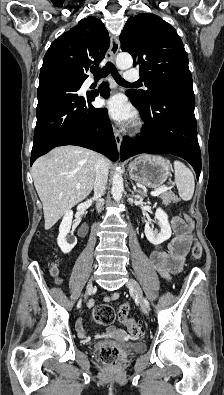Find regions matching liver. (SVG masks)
I'll return each instance as SVG.
<instances>
[{"label": "liver", "mask_w": 224, "mask_h": 395, "mask_svg": "<svg viewBox=\"0 0 224 395\" xmlns=\"http://www.w3.org/2000/svg\"><path fill=\"white\" fill-rule=\"evenodd\" d=\"M98 157V153L89 149L63 146L34 162L31 172L43 204L46 230L90 194Z\"/></svg>", "instance_id": "1"}]
</instances>
